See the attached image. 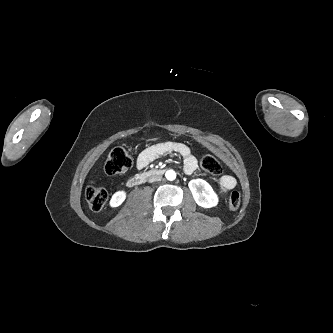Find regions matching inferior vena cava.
Returning <instances> with one entry per match:
<instances>
[{"label":"inferior vena cava","instance_id":"obj_1","mask_svg":"<svg viewBox=\"0 0 333 333\" xmlns=\"http://www.w3.org/2000/svg\"><path fill=\"white\" fill-rule=\"evenodd\" d=\"M161 178H162V177H161L160 175H155V176H152V177L149 178V182H150V183H153V182H155V181H160Z\"/></svg>","mask_w":333,"mask_h":333}]
</instances>
